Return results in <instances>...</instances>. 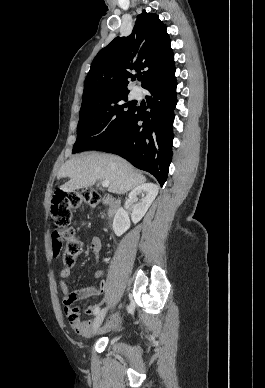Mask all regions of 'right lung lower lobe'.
<instances>
[{"mask_svg":"<svg viewBox=\"0 0 265 388\" xmlns=\"http://www.w3.org/2000/svg\"><path fill=\"white\" fill-rule=\"evenodd\" d=\"M177 81L175 72L150 83L145 89L150 112L135 108L118 134L101 150L122 156L135 167L165 183L172 159V125Z\"/></svg>","mask_w":265,"mask_h":388,"instance_id":"98d812e1","label":"right lung lower lobe"}]
</instances>
